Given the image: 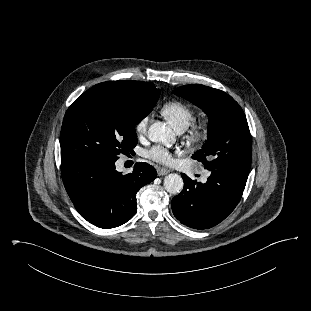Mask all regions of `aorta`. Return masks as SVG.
<instances>
[{
	"label": "aorta",
	"mask_w": 311,
	"mask_h": 311,
	"mask_svg": "<svg viewBox=\"0 0 311 311\" xmlns=\"http://www.w3.org/2000/svg\"><path fill=\"white\" fill-rule=\"evenodd\" d=\"M148 138L152 142H162L165 145H169L174 142L175 134L170 126L157 121L150 125L148 129ZM183 186V179L178 174H169L164 179V187L170 194H179L182 191Z\"/></svg>",
	"instance_id": "aorta-1"
}]
</instances>
